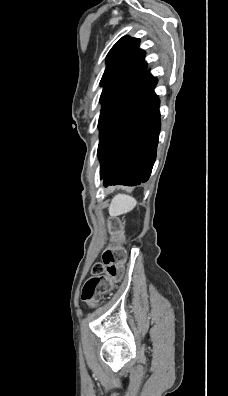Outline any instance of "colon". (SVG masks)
Here are the masks:
<instances>
[{"instance_id":"obj_1","label":"colon","mask_w":228,"mask_h":396,"mask_svg":"<svg viewBox=\"0 0 228 396\" xmlns=\"http://www.w3.org/2000/svg\"><path fill=\"white\" fill-rule=\"evenodd\" d=\"M111 240L103 252L102 263H95L91 270V277L82 289V300L89 306L96 305L112 285L118 282L123 273L126 252L122 246L123 234L120 220L110 222Z\"/></svg>"}]
</instances>
